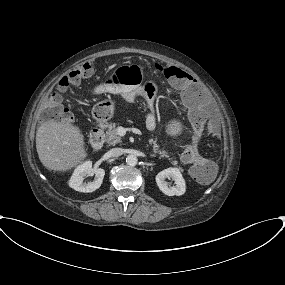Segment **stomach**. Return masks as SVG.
<instances>
[{
	"mask_svg": "<svg viewBox=\"0 0 285 285\" xmlns=\"http://www.w3.org/2000/svg\"><path fill=\"white\" fill-rule=\"evenodd\" d=\"M114 102L111 99L101 101L97 103L92 109L93 118L99 123H105L109 121L114 115ZM181 131L180 125L173 122L169 128L168 132L171 135L179 134Z\"/></svg>",
	"mask_w": 285,
	"mask_h": 285,
	"instance_id": "0dacf381",
	"label": "stomach"
}]
</instances>
